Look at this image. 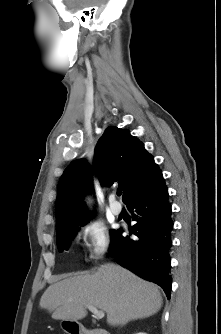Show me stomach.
<instances>
[{
	"label": "stomach",
	"mask_w": 221,
	"mask_h": 334,
	"mask_svg": "<svg viewBox=\"0 0 221 334\" xmlns=\"http://www.w3.org/2000/svg\"><path fill=\"white\" fill-rule=\"evenodd\" d=\"M68 325H69V321H66V320L62 321V323H61V327L64 330H66L68 328Z\"/></svg>",
	"instance_id": "1"
}]
</instances>
